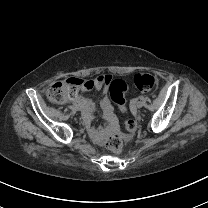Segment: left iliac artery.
<instances>
[{"label":"left iliac artery","mask_w":208,"mask_h":208,"mask_svg":"<svg viewBox=\"0 0 208 208\" xmlns=\"http://www.w3.org/2000/svg\"><path fill=\"white\" fill-rule=\"evenodd\" d=\"M139 98H140V100H143V99H144V97H143V96H140Z\"/></svg>","instance_id":"obj_1"}]
</instances>
